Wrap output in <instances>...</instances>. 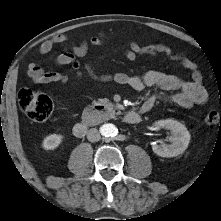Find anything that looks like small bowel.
Listing matches in <instances>:
<instances>
[{
	"label": "small bowel",
	"instance_id": "c3829d8e",
	"mask_svg": "<svg viewBox=\"0 0 221 221\" xmlns=\"http://www.w3.org/2000/svg\"><path fill=\"white\" fill-rule=\"evenodd\" d=\"M102 34L83 40L79 44L72 46L69 51L58 55L55 59L57 65H71L78 77L85 72L92 79L100 82H115L128 85L135 91H142L145 86L156 87L174 93L166 99L179 107L191 108L195 105H202L207 101L208 95L201 82V74L194 62L181 54L173 52L168 46L160 43L141 45L131 42L123 50L122 54L127 60H135L139 55H150L156 57L160 54L166 56L171 61L178 62L182 67L191 71L192 79L187 80L175 75H170L157 70H151L141 75H129L126 73L97 74L89 64H81L77 59L84 57L91 46H99L103 43ZM68 37L65 34H58L42 42L39 46L41 55L48 54L56 45L66 43ZM28 77L36 84L62 83L67 84V75L57 71H46L40 64L32 62L28 65ZM159 95L149 96L141 111H149Z\"/></svg>",
	"mask_w": 221,
	"mask_h": 221
}]
</instances>
